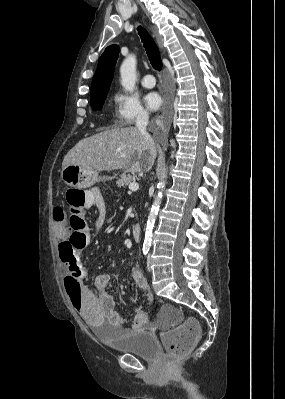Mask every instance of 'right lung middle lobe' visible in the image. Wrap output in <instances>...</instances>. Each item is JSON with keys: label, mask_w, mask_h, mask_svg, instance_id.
<instances>
[{"label": "right lung middle lobe", "mask_w": 285, "mask_h": 399, "mask_svg": "<svg viewBox=\"0 0 285 399\" xmlns=\"http://www.w3.org/2000/svg\"><path fill=\"white\" fill-rule=\"evenodd\" d=\"M107 93H108V91L104 92V93H101V94H98V95H96V96L91 98V103L90 104H91V107H92L93 110H100L102 108V105H103L104 100H105V98L107 96Z\"/></svg>", "instance_id": "dd1d6c3e"}]
</instances>
